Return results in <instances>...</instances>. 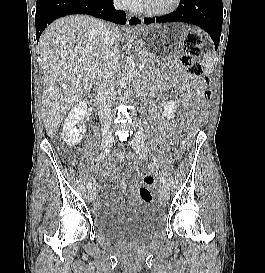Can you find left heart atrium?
<instances>
[{
	"label": "left heart atrium",
	"instance_id": "obj_1",
	"mask_svg": "<svg viewBox=\"0 0 265 273\" xmlns=\"http://www.w3.org/2000/svg\"><path fill=\"white\" fill-rule=\"evenodd\" d=\"M138 1H140V2H145L146 0H138Z\"/></svg>",
	"mask_w": 265,
	"mask_h": 273
}]
</instances>
